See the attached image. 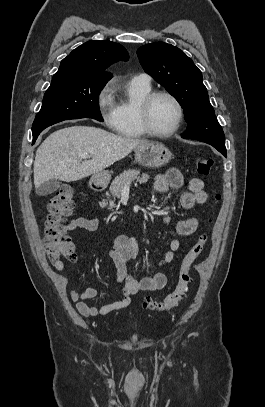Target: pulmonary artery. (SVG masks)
Segmentation results:
<instances>
[{"instance_id":"1","label":"pulmonary artery","mask_w":265,"mask_h":407,"mask_svg":"<svg viewBox=\"0 0 265 407\" xmlns=\"http://www.w3.org/2000/svg\"><path fill=\"white\" fill-rule=\"evenodd\" d=\"M133 79L140 80L145 83H150L151 81V77L146 73L138 74Z\"/></svg>"}]
</instances>
